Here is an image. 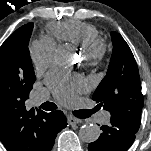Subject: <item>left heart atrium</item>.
I'll return each mask as SVG.
<instances>
[{
    "label": "left heart atrium",
    "mask_w": 151,
    "mask_h": 151,
    "mask_svg": "<svg viewBox=\"0 0 151 151\" xmlns=\"http://www.w3.org/2000/svg\"><path fill=\"white\" fill-rule=\"evenodd\" d=\"M47 84L54 94L64 102L73 99L76 93L82 91L85 80L78 75H67L62 72H52L47 77Z\"/></svg>",
    "instance_id": "left-heart-atrium-1"
}]
</instances>
